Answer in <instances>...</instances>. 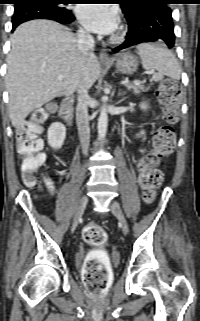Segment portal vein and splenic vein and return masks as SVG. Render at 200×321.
<instances>
[{
	"label": "portal vein and splenic vein",
	"mask_w": 200,
	"mask_h": 321,
	"mask_svg": "<svg viewBox=\"0 0 200 321\" xmlns=\"http://www.w3.org/2000/svg\"><path fill=\"white\" fill-rule=\"evenodd\" d=\"M148 75H151V74H153V70L152 71H149L148 73H147ZM63 76L62 75H60V76H58V80H63ZM130 83V81L129 80H123V81H121V84L122 85H126V84H129ZM133 83H135V84H138V83H140L138 80H135V81H133Z\"/></svg>",
	"instance_id": "18ae733b"
}]
</instances>
